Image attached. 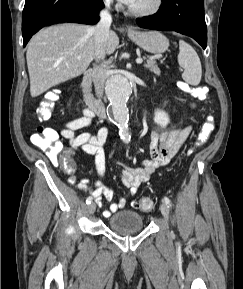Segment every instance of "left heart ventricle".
Listing matches in <instances>:
<instances>
[{
  "label": "left heart ventricle",
  "mask_w": 243,
  "mask_h": 289,
  "mask_svg": "<svg viewBox=\"0 0 243 289\" xmlns=\"http://www.w3.org/2000/svg\"><path fill=\"white\" fill-rule=\"evenodd\" d=\"M152 1L153 0H134L130 6L135 9H144L149 7Z\"/></svg>",
  "instance_id": "left-heart-ventricle-1"
}]
</instances>
